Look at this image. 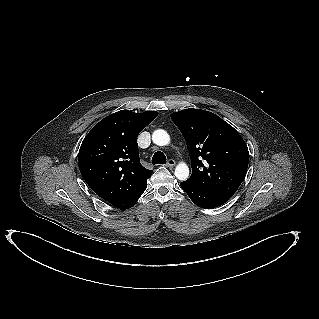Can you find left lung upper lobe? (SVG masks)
I'll list each match as a JSON object with an SVG mask.
<instances>
[{
    "label": "left lung upper lobe",
    "instance_id": "left-lung-upper-lobe-1",
    "mask_svg": "<svg viewBox=\"0 0 319 319\" xmlns=\"http://www.w3.org/2000/svg\"><path fill=\"white\" fill-rule=\"evenodd\" d=\"M171 118L183 134L191 157L192 174L186 181L232 197L248 168L249 152L243 138L209 111L190 108L172 113Z\"/></svg>",
    "mask_w": 319,
    "mask_h": 319
}]
</instances>
